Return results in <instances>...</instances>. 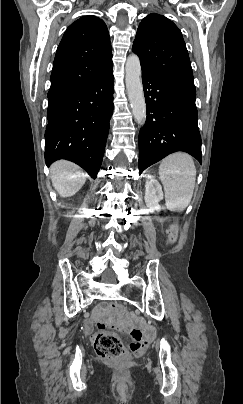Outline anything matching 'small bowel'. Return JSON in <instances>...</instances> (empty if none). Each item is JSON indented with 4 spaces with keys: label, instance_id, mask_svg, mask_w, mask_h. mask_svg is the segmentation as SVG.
Returning a JSON list of instances; mask_svg holds the SVG:
<instances>
[{
    "label": "small bowel",
    "instance_id": "small-bowel-1",
    "mask_svg": "<svg viewBox=\"0 0 243 404\" xmlns=\"http://www.w3.org/2000/svg\"><path fill=\"white\" fill-rule=\"evenodd\" d=\"M91 329H92V324H91V323H88V324L86 325V331H87V332H90Z\"/></svg>",
    "mask_w": 243,
    "mask_h": 404
}]
</instances>
